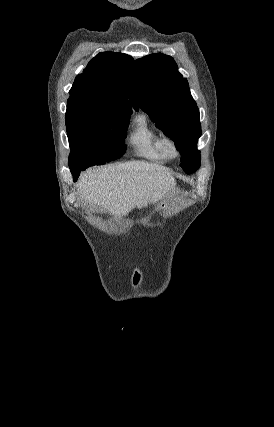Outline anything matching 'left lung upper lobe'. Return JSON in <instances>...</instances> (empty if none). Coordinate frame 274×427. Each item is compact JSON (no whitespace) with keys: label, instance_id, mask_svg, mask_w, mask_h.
Listing matches in <instances>:
<instances>
[{"label":"left lung upper lobe","instance_id":"left-lung-upper-lobe-1","mask_svg":"<svg viewBox=\"0 0 274 427\" xmlns=\"http://www.w3.org/2000/svg\"><path fill=\"white\" fill-rule=\"evenodd\" d=\"M177 70L174 59L161 53L136 60L128 96L135 110H144L175 141L182 155L181 166L191 173L200 166V151L196 147L201 136L199 110L188 81Z\"/></svg>","mask_w":274,"mask_h":427}]
</instances>
